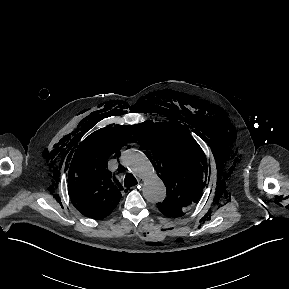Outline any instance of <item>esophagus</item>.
<instances>
[{
  "label": "esophagus",
  "instance_id": "esophagus-1",
  "mask_svg": "<svg viewBox=\"0 0 289 289\" xmlns=\"http://www.w3.org/2000/svg\"><path fill=\"white\" fill-rule=\"evenodd\" d=\"M133 189H140L141 188V184H138V185H136V186H134V187H132Z\"/></svg>",
  "mask_w": 289,
  "mask_h": 289
}]
</instances>
